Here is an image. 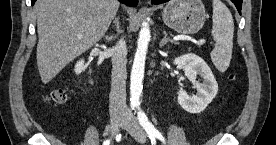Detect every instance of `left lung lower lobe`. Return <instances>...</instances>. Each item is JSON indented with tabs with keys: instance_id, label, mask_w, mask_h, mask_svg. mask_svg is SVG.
<instances>
[{
	"instance_id": "0a47b994",
	"label": "left lung lower lobe",
	"mask_w": 276,
	"mask_h": 145,
	"mask_svg": "<svg viewBox=\"0 0 276 145\" xmlns=\"http://www.w3.org/2000/svg\"><path fill=\"white\" fill-rule=\"evenodd\" d=\"M167 1H169V0H152V3L153 4H161V3H165ZM231 1L235 4L238 12L241 14V7H242L243 0H231Z\"/></svg>"
}]
</instances>
